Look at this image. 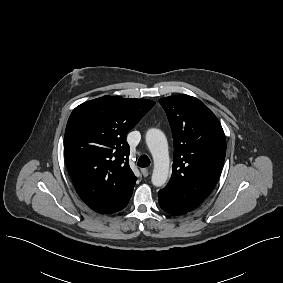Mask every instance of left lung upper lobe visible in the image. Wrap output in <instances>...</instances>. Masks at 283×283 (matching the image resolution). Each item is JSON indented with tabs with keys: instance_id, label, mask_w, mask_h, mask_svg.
I'll return each instance as SVG.
<instances>
[{
	"instance_id": "obj_1",
	"label": "left lung upper lobe",
	"mask_w": 283,
	"mask_h": 283,
	"mask_svg": "<svg viewBox=\"0 0 283 283\" xmlns=\"http://www.w3.org/2000/svg\"><path fill=\"white\" fill-rule=\"evenodd\" d=\"M173 134L172 177L165 187L187 210L198 206L213 190L226 153L222 126L200 100L176 95L159 100Z\"/></svg>"
}]
</instances>
